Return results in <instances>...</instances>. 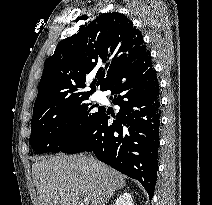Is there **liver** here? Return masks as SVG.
Listing matches in <instances>:
<instances>
[{"label":"liver","mask_w":212,"mask_h":205,"mask_svg":"<svg viewBox=\"0 0 212 205\" xmlns=\"http://www.w3.org/2000/svg\"><path fill=\"white\" fill-rule=\"evenodd\" d=\"M38 205H105L116 190L125 186V176L84 155L47 156L32 166Z\"/></svg>","instance_id":"liver-1"}]
</instances>
